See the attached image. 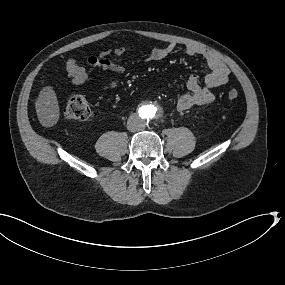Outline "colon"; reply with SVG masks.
Here are the masks:
<instances>
[{
  "label": "colon",
  "mask_w": 285,
  "mask_h": 285,
  "mask_svg": "<svg viewBox=\"0 0 285 285\" xmlns=\"http://www.w3.org/2000/svg\"><path fill=\"white\" fill-rule=\"evenodd\" d=\"M66 70L72 83L82 84L85 82L87 78L86 71L74 59L67 62ZM227 95L230 100H235L238 98L239 93L236 89H230ZM64 114L69 119L86 120L90 117L91 110L87 100L81 94L74 93L67 99Z\"/></svg>",
  "instance_id": "colon-1"
}]
</instances>
